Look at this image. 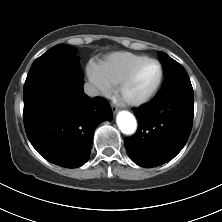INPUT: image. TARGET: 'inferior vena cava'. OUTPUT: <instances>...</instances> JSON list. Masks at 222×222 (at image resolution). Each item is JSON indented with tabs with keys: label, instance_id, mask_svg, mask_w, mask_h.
<instances>
[{
	"label": "inferior vena cava",
	"instance_id": "obj_1",
	"mask_svg": "<svg viewBox=\"0 0 222 222\" xmlns=\"http://www.w3.org/2000/svg\"><path fill=\"white\" fill-rule=\"evenodd\" d=\"M84 92L90 97H95V96H98L99 94L97 88L90 83L84 84Z\"/></svg>",
	"mask_w": 222,
	"mask_h": 222
}]
</instances>
